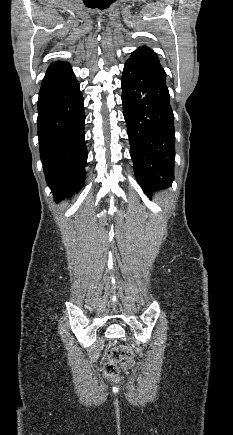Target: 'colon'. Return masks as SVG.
I'll return each instance as SVG.
<instances>
[{
  "label": "colon",
  "mask_w": 233,
  "mask_h": 435,
  "mask_svg": "<svg viewBox=\"0 0 233 435\" xmlns=\"http://www.w3.org/2000/svg\"><path fill=\"white\" fill-rule=\"evenodd\" d=\"M133 352L130 347L119 345L110 349L107 361L103 366L104 376L110 381H115L120 373L118 363L131 359Z\"/></svg>",
  "instance_id": "obj_1"
}]
</instances>
